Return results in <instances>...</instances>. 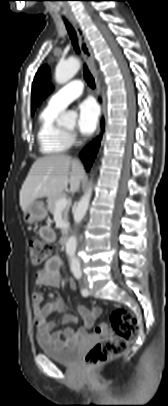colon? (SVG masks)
Returning a JSON list of instances; mask_svg holds the SVG:
<instances>
[{"mask_svg": "<svg viewBox=\"0 0 168 406\" xmlns=\"http://www.w3.org/2000/svg\"><path fill=\"white\" fill-rule=\"evenodd\" d=\"M50 246L39 240L29 242V258L33 265H40L50 256ZM109 329L113 331L110 334ZM105 337L95 343L85 355V366H99L120 355L139 334V323L135 314L127 309H115L108 320L98 326Z\"/></svg>", "mask_w": 168, "mask_h": 406, "instance_id": "colon-1", "label": "colon"}]
</instances>
